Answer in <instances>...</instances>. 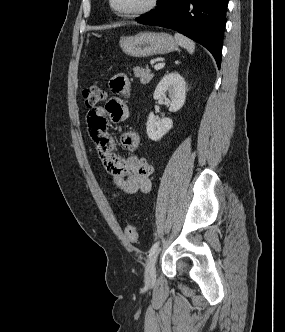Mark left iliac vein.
<instances>
[{
  "instance_id": "4c4485c4",
  "label": "left iliac vein",
  "mask_w": 285,
  "mask_h": 332,
  "mask_svg": "<svg viewBox=\"0 0 285 332\" xmlns=\"http://www.w3.org/2000/svg\"><path fill=\"white\" fill-rule=\"evenodd\" d=\"M159 250H157L156 254L148 261L145 268V282L147 284H153L156 279V261Z\"/></svg>"
}]
</instances>
